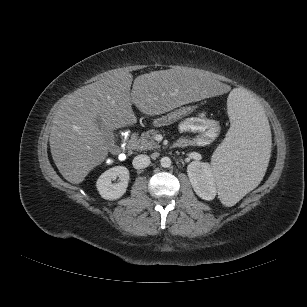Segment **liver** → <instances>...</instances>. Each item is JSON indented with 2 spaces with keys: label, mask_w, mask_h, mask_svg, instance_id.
Here are the masks:
<instances>
[{
  "label": "liver",
  "mask_w": 307,
  "mask_h": 307,
  "mask_svg": "<svg viewBox=\"0 0 307 307\" xmlns=\"http://www.w3.org/2000/svg\"><path fill=\"white\" fill-rule=\"evenodd\" d=\"M124 71L107 73L77 89L57 109L50 132L52 158L61 175L82 183L108 155L100 118L111 130L136 123L134 104L147 115H158L205 97L226 94L229 86L203 70L178 67L135 78Z\"/></svg>",
  "instance_id": "obj_1"
}]
</instances>
